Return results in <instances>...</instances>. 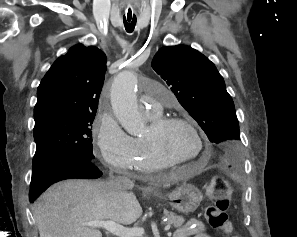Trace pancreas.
Returning <instances> with one entry per match:
<instances>
[{
	"mask_svg": "<svg viewBox=\"0 0 297 237\" xmlns=\"http://www.w3.org/2000/svg\"><path fill=\"white\" fill-rule=\"evenodd\" d=\"M164 215L168 218L167 224L173 225L175 228L181 227L185 222L182 216H177L173 212L165 211Z\"/></svg>",
	"mask_w": 297,
	"mask_h": 237,
	"instance_id": "cf45deb5",
	"label": "pancreas"
}]
</instances>
